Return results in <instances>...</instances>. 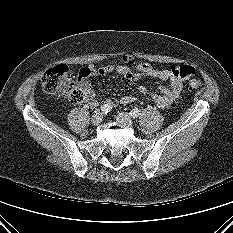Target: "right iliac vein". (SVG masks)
<instances>
[{
  "label": "right iliac vein",
  "mask_w": 233,
  "mask_h": 233,
  "mask_svg": "<svg viewBox=\"0 0 233 233\" xmlns=\"http://www.w3.org/2000/svg\"><path fill=\"white\" fill-rule=\"evenodd\" d=\"M103 115L100 112L94 114L91 118V122L94 126H98L102 121Z\"/></svg>",
  "instance_id": "63e3f726"
}]
</instances>
